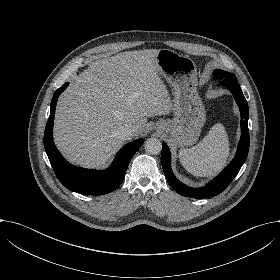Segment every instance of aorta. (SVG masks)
I'll use <instances>...</instances> for the list:
<instances>
[{
	"instance_id": "aorta-1",
	"label": "aorta",
	"mask_w": 280,
	"mask_h": 280,
	"mask_svg": "<svg viewBox=\"0 0 280 280\" xmlns=\"http://www.w3.org/2000/svg\"><path fill=\"white\" fill-rule=\"evenodd\" d=\"M145 151L149 154H158L162 150L161 141L158 138L151 137L144 143Z\"/></svg>"
}]
</instances>
